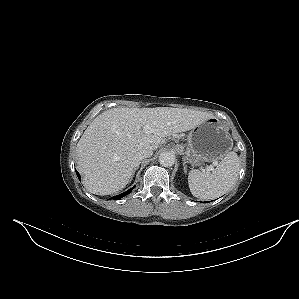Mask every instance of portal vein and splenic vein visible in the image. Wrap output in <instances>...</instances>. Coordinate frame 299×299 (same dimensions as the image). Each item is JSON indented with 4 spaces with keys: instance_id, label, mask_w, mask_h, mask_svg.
I'll list each match as a JSON object with an SVG mask.
<instances>
[{
    "instance_id": "portal-vein-and-splenic-vein-1",
    "label": "portal vein and splenic vein",
    "mask_w": 299,
    "mask_h": 299,
    "mask_svg": "<svg viewBox=\"0 0 299 299\" xmlns=\"http://www.w3.org/2000/svg\"><path fill=\"white\" fill-rule=\"evenodd\" d=\"M145 132L148 133V134H149V133H152V132H153V129H152L151 127H149V126H146V127H145Z\"/></svg>"
}]
</instances>
